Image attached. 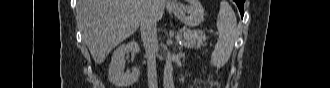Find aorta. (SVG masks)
Instances as JSON below:
<instances>
[{
	"instance_id": "762f6f07",
	"label": "aorta",
	"mask_w": 330,
	"mask_h": 88,
	"mask_svg": "<svg viewBox=\"0 0 330 88\" xmlns=\"http://www.w3.org/2000/svg\"><path fill=\"white\" fill-rule=\"evenodd\" d=\"M163 86H164V88H174L173 65H172L169 53H168V59L166 60V63L164 66Z\"/></svg>"
}]
</instances>
